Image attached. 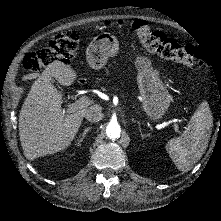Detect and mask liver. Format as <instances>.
Returning <instances> with one entry per match:
<instances>
[{
    "label": "liver",
    "mask_w": 221,
    "mask_h": 221,
    "mask_svg": "<svg viewBox=\"0 0 221 221\" xmlns=\"http://www.w3.org/2000/svg\"><path fill=\"white\" fill-rule=\"evenodd\" d=\"M52 77L69 85L75 74L56 61L33 81L18 118L21 146L28 159L63 149L78 131L84 114L91 109H100L99 105H93L70 114L63 112L62 97L51 85Z\"/></svg>",
    "instance_id": "obj_1"
}]
</instances>
